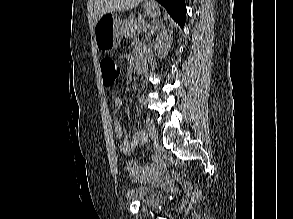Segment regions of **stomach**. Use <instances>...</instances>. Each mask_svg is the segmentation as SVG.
I'll return each instance as SVG.
<instances>
[{"mask_svg": "<svg viewBox=\"0 0 293 219\" xmlns=\"http://www.w3.org/2000/svg\"><path fill=\"white\" fill-rule=\"evenodd\" d=\"M143 10L149 17L160 16L158 4L154 1H145ZM122 21L115 14L103 15L95 24L94 39L98 49L110 52L115 49L122 39Z\"/></svg>", "mask_w": 293, "mask_h": 219, "instance_id": "0dacf381", "label": "stomach"}]
</instances>
